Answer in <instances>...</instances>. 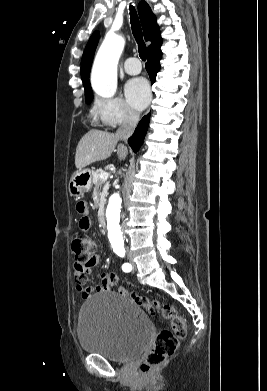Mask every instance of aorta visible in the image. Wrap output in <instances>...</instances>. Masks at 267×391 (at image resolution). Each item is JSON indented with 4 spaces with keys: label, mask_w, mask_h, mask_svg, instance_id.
<instances>
[{
    "label": "aorta",
    "mask_w": 267,
    "mask_h": 391,
    "mask_svg": "<svg viewBox=\"0 0 267 391\" xmlns=\"http://www.w3.org/2000/svg\"><path fill=\"white\" fill-rule=\"evenodd\" d=\"M125 39L121 35L109 33L101 44L94 60L91 82L95 93L111 98L117 90V65L124 49ZM121 198L118 193L109 199L106 210L108 236L116 251L122 250L120 226Z\"/></svg>",
    "instance_id": "aorta-1"
}]
</instances>
